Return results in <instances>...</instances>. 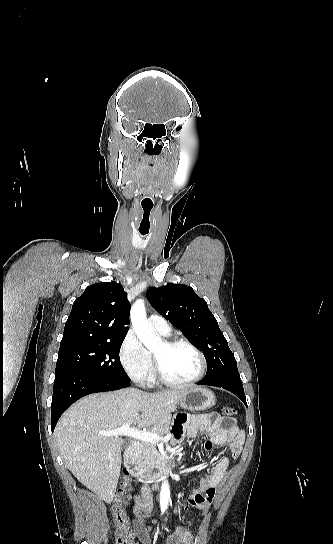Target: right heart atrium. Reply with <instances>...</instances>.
<instances>
[{"mask_svg":"<svg viewBox=\"0 0 333 544\" xmlns=\"http://www.w3.org/2000/svg\"><path fill=\"white\" fill-rule=\"evenodd\" d=\"M119 358L127 375L139 384L149 381L152 373V359L149 352L133 333H128L120 348Z\"/></svg>","mask_w":333,"mask_h":544,"instance_id":"1","label":"right heart atrium"}]
</instances>
